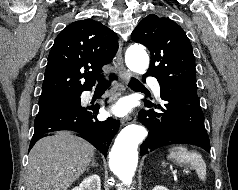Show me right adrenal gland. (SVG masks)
<instances>
[{"label":"right adrenal gland","instance_id":"1","mask_svg":"<svg viewBox=\"0 0 238 190\" xmlns=\"http://www.w3.org/2000/svg\"><path fill=\"white\" fill-rule=\"evenodd\" d=\"M93 166V167H97L98 164L95 163V159L93 158L92 160V163L89 165V167L87 168V171L90 169V167Z\"/></svg>","mask_w":238,"mask_h":190}]
</instances>
